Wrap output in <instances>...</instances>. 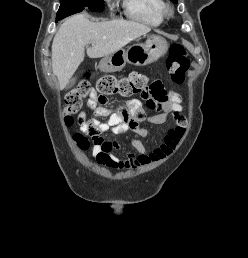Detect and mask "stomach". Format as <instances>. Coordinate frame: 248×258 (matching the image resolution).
I'll list each match as a JSON object with an SVG mask.
<instances>
[{
	"mask_svg": "<svg viewBox=\"0 0 248 258\" xmlns=\"http://www.w3.org/2000/svg\"><path fill=\"white\" fill-rule=\"evenodd\" d=\"M168 49L167 41L160 36L148 37L145 43H136L105 56L99 63L101 71H121L127 63L144 66L157 61Z\"/></svg>",
	"mask_w": 248,
	"mask_h": 258,
	"instance_id": "0dacf381",
	"label": "stomach"
}]
</instances>
